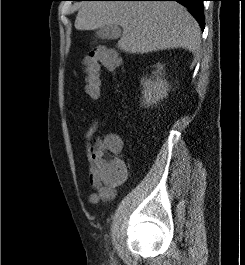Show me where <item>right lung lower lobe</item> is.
<instances>
[{"label": "right lung lower lobe", "mask_w": 245, "mask_h": 265, "mask_svg": "<svg viewBox=\"0 0 245 265\" xmlns=\"http://www.w3.org/2000/svg\"><path fill=\"white\" fill-rule=\"evenodd\" d=\"M124 1H177L178 3L185 6L198 21L202 30L205 27V17L203 12V1L204 0H124Z\"/></svg>", "instance_id": "right-lung-lower-lobe-1"}]
</instances>
